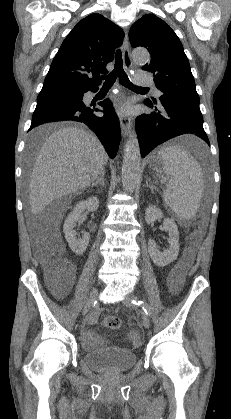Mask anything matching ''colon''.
Here are the masks:
<instances>
[{"label":"colon","instance_id":"colon-1","mask_svg":"<svg viewBox=\"0 0 231 419\" xmlns=\"http://www.w3.org/2000/svg\"><path fill=\"white\" fill-rule=\"evenodd\" d=\"M45 270L48 278L52 282H68L71 277L69 264L60 258L57 252L46 257ZM103 324L110 330H118L121 326V321L117 316L107 315L103 319Z\"/></svg>","mask_w":231,"mask_h":419}]
</instances>
